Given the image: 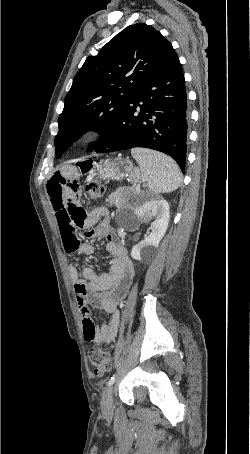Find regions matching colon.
I'll list each match as a JSON object with an SVG mask.
<instances>
[{"label":"colon","instance_id":"colon-1","mask_svg":"<svg viewBox=\"0 0 250 454\" xmlns=\"http://www.w3.org/2000/svg\"><path fill=\"white\" fill-rule=\"evenodd\" d=\"M86 193L89 199L97 200L104 194V187L99 182H90L86 185ZM89 359L91 365L98 375H102L111 368V355L105 349L93 346L89 350Z\"/></svg>","mask_w":250,"mask_h":454}]
</instances>
